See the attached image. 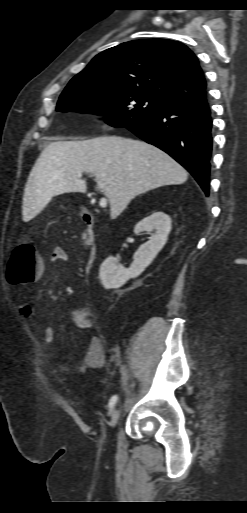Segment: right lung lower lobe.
I'll list each match as a JSON object with an SVG mask.
<instances>
[{
    "instance_id": "obj_1",
    "label": "right lung lower lobe",
    "mask_w": 247,
    "mask_h": 513,
    "mask_svg": "<svg viewBox=\"0 0 247 513\" xmlns=\"http://www.w3.org/2000/svg\"><path fill=\"white\" fill-rule=\"evenodd\" d=\"M212 120L206 98L169 104L143 122L126 127L173 157L209 195Z\"/></svg>"
}]
</instances>
